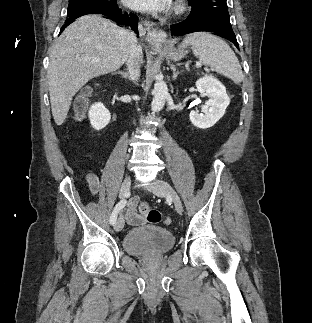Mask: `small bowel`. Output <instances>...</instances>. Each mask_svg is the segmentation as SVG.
I'll list each match as a JSON object with an SVG mask.
<instances>
[{"instance_id":"c3829d8e","label":"small bowel","mask_w":312,"mask_h":323,"mask_svg":"<svg viewBox=\"0 0 312 323\" xmlns=\"http://www.w3.org/2000/svg\"><path fill=\"white\" fill-rule=\"evenodd\" d=\"M85 179L91 193L94 195L98 194L100 190V181L98 176L93 173H88ZM137 204L138 199L136 197H133L130 199L128 206L125 210V218L130 226H141L146 222L145 217L137 212Z\"/></svg>"}]
</instances>
